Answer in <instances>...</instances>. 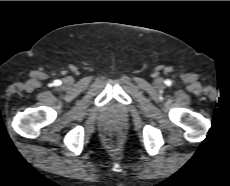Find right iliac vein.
<instances>
[{"label":"right iliac vein","instance_id":"1","mask_svg":"<svg viewBox=\"0 0 230 186\" xmlns=\"http://www.w3.org/2000/svg\"><path fill=\"white\" fill-rule=\"evenodd\" d=\"M69 83H70V80H65V81H64V84H65V85H68Z\"/></svg>","mask_w":230,"mask_h":186}]
</instances>
